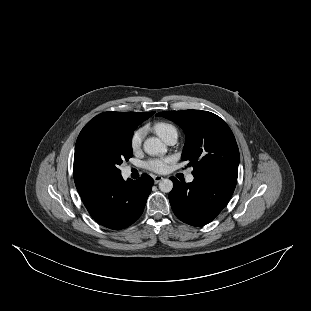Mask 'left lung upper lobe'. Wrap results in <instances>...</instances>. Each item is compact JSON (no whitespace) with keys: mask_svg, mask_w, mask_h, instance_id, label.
<instances>
[{"mask_svg":"<svg viewBox=\"0 0 311 311\" xmlns=\"http://www.w3.org/2000/svg\"><path fill=\"white\" fill-rule=\"evenodd\" d=\"M157 116L177 123L184 130L182 160L193 166L194 177L238 175V146L231 129L219 116L200 110L165 111Z\"/></svg>","mask_w":311,"mask_h":311,"instance_id":"obj_1","label":"left lung upper lobe"}]
</instances>
